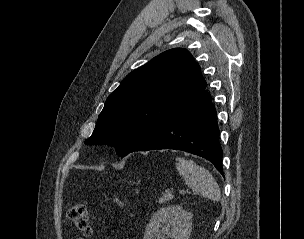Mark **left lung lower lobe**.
<instances>
[{
    "mask_svg": "<svg viewBox=\"0 0 304 239\" xmlns=\"http://www.w3.org/2000/svg\"><path fill=\"white\" fill-rule=\"evenodd\" d=\"M154 149L182 150L201 156L223 175L216 110L206 90L133 151Z\"/></svg>",
    "mask_w": 304,
    "mask_h": 239,
    "instance_id": "1",
    "label": "left lung lower lobe"
}]
</instances>
